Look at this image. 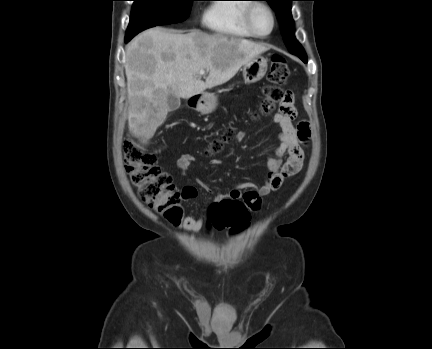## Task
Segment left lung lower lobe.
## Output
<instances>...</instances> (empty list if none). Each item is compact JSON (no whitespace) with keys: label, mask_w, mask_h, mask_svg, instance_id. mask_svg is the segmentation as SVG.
<instances>
[{"label":"left lung lower lobe","mask_w":432,"mask_h":349,"mask_svg":"<svg viewBox=\"0 0 432 349\" xmlns=\"http://www.w3.org/2000/svg\"><path fill=\"white\" fill-rule=\"evenodd\" d=\"M301 60H302L303 62H305V63L307 62V59H301Z\"/></svg>","instance_id":"obj_1"}]
</instances>
